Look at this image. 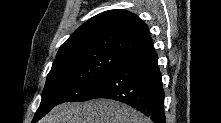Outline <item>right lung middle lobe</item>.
I'll use <instances>...</instances> for the list:
<instances>
[{
	"label": "right lung middle lobe",
	"instance_id": "dd1d6c3e",
	"mask_svg": "<svg viewBox=\"0 0 221 123\" xmlns=\"http://www.w3.org/2000/svg\"><path fill=\"white\" fill-rule=\"evenodd\" d=\"M129 56L109 49H84L57 57L47 76L34 120L68 101L89 100L96 84Z\"/></svg>",
	"mask_w": 221,
	"mask_h": 123
}]
</instances>
